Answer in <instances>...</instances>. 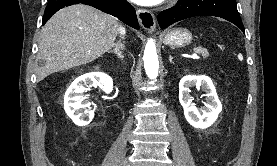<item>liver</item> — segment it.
I'll use <instances>...</instances> for the list:
<instances>
[{"mask_svg":"<svg viewBox=\"0 0 277 166\" xmlns=\"http://www.w3.org/2000/svg\"><path fill=\"white\" fill-rule=\"evenodd\" d=\"M117 30V19L93 7L61 9L41 31L38 59L45 64L38 68L37 80L98 59L115 46Z\"/></svg>","mask_w":277,"mask_h":166,"instance_id":"1","label":"liver"}]
</instances>
